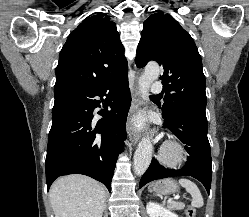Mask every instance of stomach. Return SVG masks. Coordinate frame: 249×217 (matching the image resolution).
<instances>
[{"label":"stomach","mask_w":249,"mask_h":217,"mask_svg":"<svg viewBox=\"0 0 249 217\" xmlns=\"http://www.w3.org/2000/svg\"><path fill=\"white\" fill-rule=\"evenodd\" d=\"M149 191L157 195H169L178 191V185L172 179H163L150 184Z\"/></svg>","instance_id":"0dacf381"}]
</instances>
